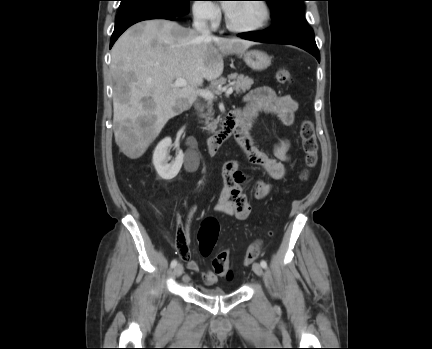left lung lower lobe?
<instances>
[{"label": "left lung lower lobe", "mask_w": 432, "mask_h": 349, "mask_svg": "<svg viewBox=\"0 0 432 349\" xmlns=\"http://www.w3.org/2000/svg\"><path fill=\"white\" fill-rule=\"evenodd\" d=\"M238 36L256 42L294 45L308 51L320 62L314 33L309 26L274 25L264 31L240 33Z\"/></svg>", "instance_id": "left-lung-lower-lobe-1"}]
</instances>
